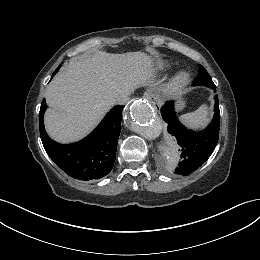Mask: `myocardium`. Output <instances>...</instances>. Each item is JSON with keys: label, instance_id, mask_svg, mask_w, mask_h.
Segmentation results:
<instances>
[{"label": "myocardium", "instance_id": "1", "mask_svg": "<svg viewBox=\"0 0 260 260\" xmlns=\"http://www.w3.org/2000/svg\"><path fill=\"white\" fill-rule=\"evenodd\" d=\"M190 81V74L186 70L177 71L171 78L169 89L172 91L183 89Z\"/></svg>", "mask_w": 260, "mask_h": 260}]
</instances>
